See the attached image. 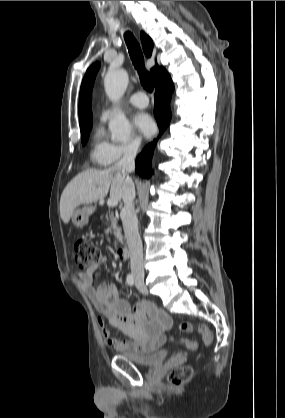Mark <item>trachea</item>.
Wrapping results in <instances>:
<instances>
[{
	"label": "trachea",
	"mask_w": 285,
	"mask_h": 418,
	"mask_svg": "<svg viewBox=\"0 0 285 418\" xmlns=\"http://www.w3.org/2000/svg\"><path fill=\"white\" fill-rule=\"evenodd\" d=\"M126 45L131 57V60L138 71L140 81L144 89L152 92L154 83L151 75L146 71L144 66V58L139 43L136 41L132 33L126 32L124 35Z\"/></svg>",
	"instance_id": "trachea-1"
}]
</instances>
